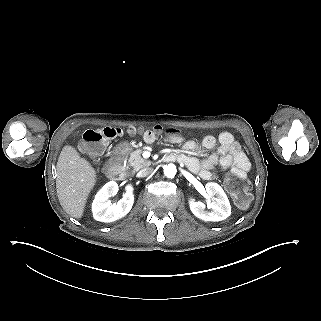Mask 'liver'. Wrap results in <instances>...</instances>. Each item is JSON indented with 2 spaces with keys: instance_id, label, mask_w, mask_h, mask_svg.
I'll return each mask as SVG.
<instances>
[{
  "instance_id": "liver-1",
  "label": "liver",
  "mask_w": 321,
  "mask_h": 321,
  "mask_svg": "<svg viewBox=\"0 0 321 321\" xmlns=\"http://www.w3.org/2000/svg\"><path fill=\"white\" fill-rule=\"evenodd\" d=\"M56 188L64 211L78 220L83 218L97 174L89 161L72 146L66 145L58 158Z\"/></svg>"
}]
</instances>
